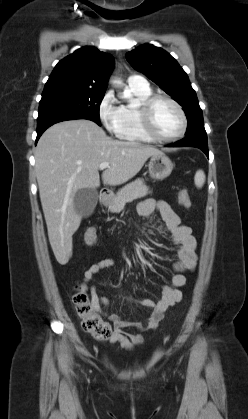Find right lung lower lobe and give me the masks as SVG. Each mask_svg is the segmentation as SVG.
Masks as SVG:
<instances>
[{
  "label": "right lung lower lobe",
  "instance_id": "98d812e1",
  "mask_svg": "<svg viewBox=\"0 0 248 419\" xmlns=\"http://www.w3.org/2000/svg\"><path fill=\"white\" fill-rule=\"evenodd\" d=\"M74 119H88L91 120L89 117H87L84 114L81 113H75V112H62V113H54L45 115L42 117H38L37 120V138L36 143L39 139V137L42 135V133L51 125L66 121V120H74Z\"/></svg>",
  "mask_w": 248,
  "mask_h": 419
}]
</instances>
